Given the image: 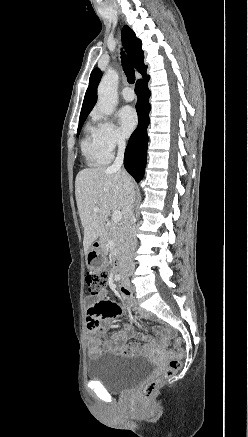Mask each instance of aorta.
I'll use <instances>...</instances> for the list:
<instances>
[{
    "instance_id": "1",
    "label": "aorta",
    "mask_w": 248,
    "mask_h": 437,
    "mask_svg": "<svg viewBox=\"0 0 248 437\" xmlns=\"http://www.w3.org/2000/svg\"><path fill=\"white\" fill-rule=\"evenodd\" d=\"M118 74L115 71L105 73L98 86V106L105 115H111L117 105Z\"/></svg>"
}]
</instances>
